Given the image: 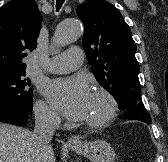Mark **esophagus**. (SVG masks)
<instances>
[{"mask_svg": "<svg viewBox=\"0 0 168 162\" xmlns=\"http://www.w3.org/2000/svg\"><path fill=\"white\" fill-rule=\"evenodd\" d=\"M81 142V140L78 138V137H70L68 140H67V143L68 144H79Z\"/></svg>", "mask_w": 168, "mask_h": 162, "instance_id": "esophagus-1", "label": "esophagus"}]
</instances>
